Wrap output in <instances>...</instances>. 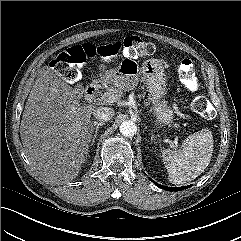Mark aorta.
Wrapping results in <instances>:
<instances>
[{"label": "aorta", "instance_id": "762f6f07", "mask_svg": "<svg viewBox=\"0 0 241 241\" xmlns=\"http://www.w3.org/2000/svg\"><path fill=\"white\" fill-rule=\"evenodd\" d=\"M119 129L121 134L126 137H131L137 132V126L130 120L122 122Z\"/></svg>", "mask_w": 241, "mask_h": 241}]
</instances>
